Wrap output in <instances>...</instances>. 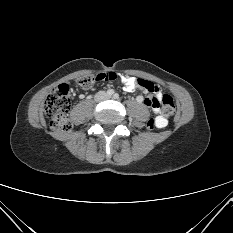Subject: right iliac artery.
Wrapping results in <instances>:
<instances>
[{
  "instance_id": "1",
  "label": "right iliac artery",
  "mask_w": 233,
  "mask_h": 233,
  "mask_svg": "<svg viewBox=\"0 0 233 233\" xmlns=\"http://www.w3.org/2000/svg\"><path fill=\"white\" fill-rule=\"evenodd\" d=\"M113 94H114V90H113V89L107 90V95H108V96H111V95H113Z\"/></svg>"
}]
</instances>
